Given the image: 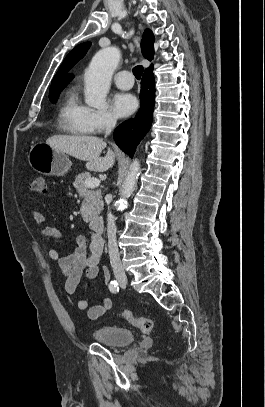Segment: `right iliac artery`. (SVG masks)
I'll return each mask as SVG.
<instances>
[{"mask_svg":"<svg viewBox=\"0 0 265 407\" xmlns=\"http://www.w3.org/2000/svg\"><path fill=\"white\" fill-rule=\"evenodd\" d=\"M109 289L112 293L119 292V284L116 281H111L109 284Z\"/></svg>","mask_w":265,"mask_h":407,"instance_id":"obj_1","label":"right iliac artery"}]
</instances>
